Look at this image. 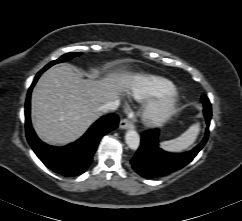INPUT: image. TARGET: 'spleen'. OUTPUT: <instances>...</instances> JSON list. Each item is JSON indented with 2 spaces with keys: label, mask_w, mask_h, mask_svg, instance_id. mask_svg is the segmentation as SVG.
Listing matches in <instances>:
<instances>
[{
  "label": "spleen",
  "mask_w": 242,
  "mask_h": 221,
  "mask_svg": "<svg viewBox=\"0 0 242 221\" xmlns=\"http://www.w3.org/2000/svg\"><path fill=\"white\" fill-rule=\"evenodd\" d=\"M200 131V124L195 123L179 137L160 143V147L168 152H181L190 147L196 140Z\"/></svg>",
  "instance_id": "spleen-1"
}]
</instances>
